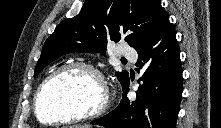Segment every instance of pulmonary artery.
I'll list each match as a JSON object with an SVG mask.
<instances>
[{"instance_id":"1","label":"pulmonary artery","mask_w":221,"mask_h":128,"mask_svg":"<svg viewBox=\"0 0 221 128\" xmlns=\"http://www.w3.org/2000/svg\"><path fill=\"white\" fill-rule=\"evenodd\" d=\"M118 50L120 55L130 58L134 62L137 61L138 56L133 49L124 46H119Z\"/></svg>"}]
</instances>
